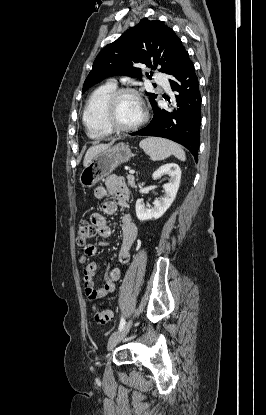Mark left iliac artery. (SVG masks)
Returning <instances> with one entry per match:
<instances>
[{"instance_id": "44dca946", "label": "left iliac artery", "mask_w": 266, "mask_h": 415, "mask_svg": "<svg viewBox=\"0 0 266 415\" xmlns=\"http://www.w3.org/2000/svg\"><path fill=\"white\" fill-rule=\"evenodd\" d=\"M124 325H125V319L123 317H121L118 329L121 330L124 327Z\"/></svg>"}]
</instances>
